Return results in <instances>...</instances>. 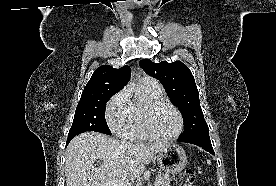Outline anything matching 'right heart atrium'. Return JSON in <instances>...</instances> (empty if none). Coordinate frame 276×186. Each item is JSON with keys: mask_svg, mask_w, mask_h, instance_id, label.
<instances>
[{"mask_svg": "<svg viewBox=\"0 0 276 186\" xmlns=\"http://www.w3.org/2000/svg\"><path fill=\"white\" fill-rule=\"evenodd\" d=\"M106 119L109 127L119 134L131 126L133 118L127 89H122L109 100Z\"/></svg>", "mask_w": 276, "mask_h": 186, "instance_id": "d8ad5b80", "label": "right heart atrium"}]
</instances>
